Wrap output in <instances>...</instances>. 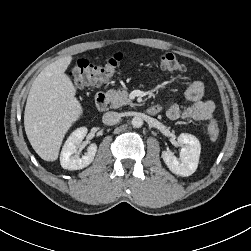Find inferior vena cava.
Masks as SVG:
<instances>
[{"label": "inferior vena cava", "instance_id": "1", "mask_svg": "<svg viewBox=\"0 0 251 251\" xmlns=\"http://www.w3.org/2000/svg\"><path fill=\"white\" fill-rule=\"evenodd\" d=\"M120 120V115L117 112H107L103 115L102 121L106 125H114Z\"/></svg>", "mask_w": 251, "mask_h": 251}]
</instances>
